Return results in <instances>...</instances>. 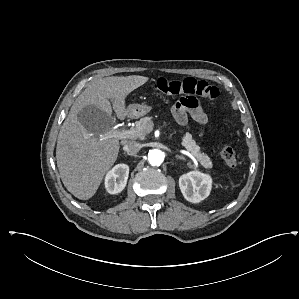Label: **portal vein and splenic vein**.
Listing matches in <instances>:
<instances>
[{
	"mask_svg": "<svg viewBox=\"0 0 299 299\" xmlns=\"http://www.w3.org/2000/svg\"><path fill=\"white\" fill-rule=\"evenodd\" d=\"M149 129L152 128V125L148 127ZM138 132V130L130 129V130H117L112 129L104 134L100 135L101 140L111 139V138H117V139H127V138H133L135 134Z\"/></svg>",
	"mask_w": 299,
	"mask_h": 299,
	"instance_id": "portal-vein-and-splenic-vein-1",
	"label": "portal vein and splenic vein"
}]
</instances>
